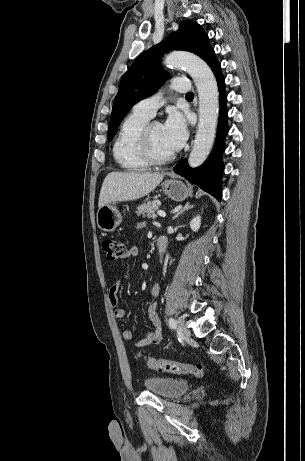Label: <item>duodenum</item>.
<instances>
[{
    "label": "duodenum",
    "instance_id": "obj_1",
    "mask_svg": "<svg viewBox=\"0 0 305 461\" xmlns=\"http://www.w3.org/2000/svg\"><path fill=\"white\" fill-rule=\"evenodd\" d=\"M157 248H158V252H159V255L160 257H162L166 251V248H167V239L164 238V237H159L157 239Z\"/></svg>",
    "mask_w": 305,
    "mask_h": 461
}]
</instances>
